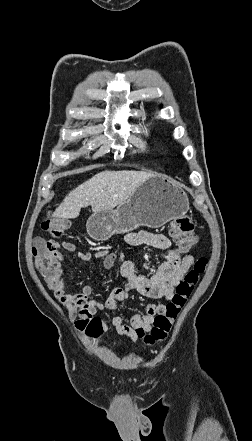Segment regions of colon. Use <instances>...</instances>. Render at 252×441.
Listing matches in <instances>:
<instances>
[{"instance_id":"1","label":"colon","mask_w":252,"mask_h":441,"mask_svg":"<svg viewBox=\"0 0 252 441\" xmlns=\"http://www.w3.org/2000/svg\"><path fill=\"white\" fill-rule=\"evenodd\" d=\"M69 223L64 219L49 218L43 223V229L54 237H60L67 230ZM169 234L179 249L189 251L197 243L194 224L188 217L174 220L169 228ZM59 243L56 241H38L33 249L35 266L46 281L57 283L60 280V262L58 256ZM207 259L199 258L193 268L179 282L171 300L165 305L164 312L155 316L153 327L149 334L142 329L136 331L137 337L143 339L147 345L162 342L171 330L173 322L185 306L197 285L201 275L207 267ZM104 330V323L99 317L92 318L85 331L91 337H98Z\"/></svg>"}]
</instances>
